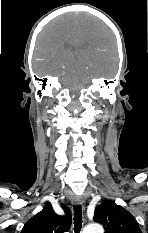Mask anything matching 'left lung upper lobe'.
I'll return each instance as SVG.
<instances>
[{
    "label": "left lung upper lobe",
    "mask_w": 148,
    "mask_h": 233,
    "mask_svg": "<svg viewBox=\"0 0 148 233\" xmlns=\"http://www.w3.org/2000/svg\"><path fill=\"white\" fill-rule=\"evenodd\" d=\"M94 221L104 226L105 233H142L136 219L112 201H104L96 207Z\"/></svg>",
    "instance_id": "left-lung-upper-lobe-1"
}]
</instances>
